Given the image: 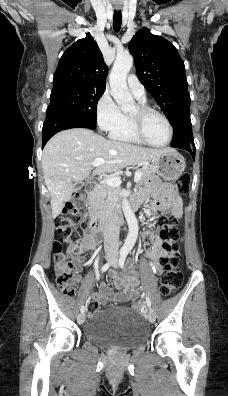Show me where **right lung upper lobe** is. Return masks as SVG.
Masks as SVG:
<instances>
[{"instance_id": "1", "label": "right lung upper lobe", "mask_w": 228, "mask_h": 396, "mask_svg": "<svg viewBox=\"0 0 228 396\" xmlns=\"http://www.w3.org/2000/svg\"><path fill=\"white\" fill-rule=\"evenodd\" d=\"M107 66L93 37L88 34L69 47L60 58L53 86L75 84L105 89Z\"/></svg>"}]
</instances>
